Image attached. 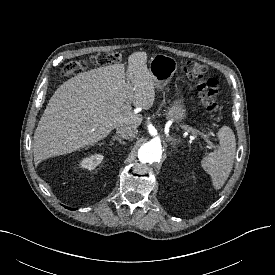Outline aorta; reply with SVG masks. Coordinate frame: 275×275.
I'll use <instances>...</instances> for the list:
<instances>
[{
  "mask_svg": "<svg viewBox=\"0 0 275 275\" xmlns=\"http://www.w3.org/2000/svg\"><path fill=\"white\" fill-rule=\"evenodd\" d=\"M162 157V148L161 145L150 141L143 144L138 150V158L142 163H155L160 161Z\"/></svg>",
  "mask_w": 275,
  "mask_h": 275,
  "instance_id": "1",
  "label": "aorta"
}]
</instances>
